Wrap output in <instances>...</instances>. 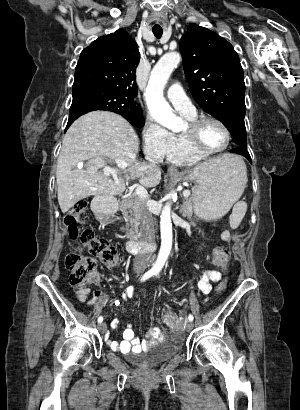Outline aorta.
Wrapping results in <instances>:
<instances>
[{
	"mask_svg": "<svg viewBox=\"0 0 300 410\" xmlns=\"http://www.w3.org/2000/svg\"><path fill=\"white\" fill-rule=\"evenodd\" d=\"M180 60V54L177 52H170L161 57L151 71L149 82L145 90V99L152 118L174 132L182 128L183 121L173 113L172 108L163 96V91L172 71L177 67ZM176 197L177 193L175 191H171L167 195L169 200ZM160 231L161 247L157 259L153 264V270L158 272L161 271L165 265L172 248L170 202H167L162 210L160 216Z\"/></svg>",
	"mask_w": 300,
	"mask_h": 410,
	"instance_id": "1",
	"label": "aorta"
}]
</instances>
